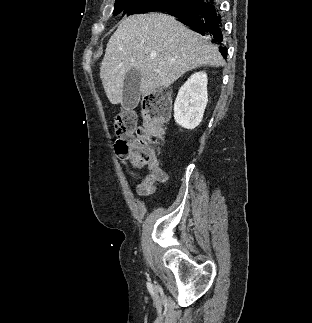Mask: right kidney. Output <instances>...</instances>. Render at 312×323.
<instances>
[{
  "instance_id": "ca27d5eb",
  "label": "right kidney",
  "mask_w": 312,
  "mask_h": 323,
  "mask_svg": "<svg viewBox=\"0 0 312 323\" xmlns=\"http://www.w3.org/2000/svg\"><path fill=\"white\" fill-rule=\"evenodd\" d=\"M206 72H196L181 86L174 104V120L186 130L199 126L208 102Z\"/></svg>"
}]
</instances>
